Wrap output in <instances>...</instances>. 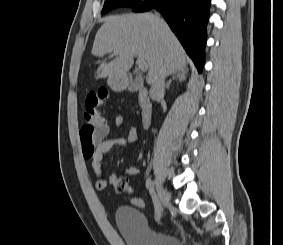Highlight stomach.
<instances>
[{
	"label": "stomach",
	"mask_w": 283,
	"mask_h": 245,
	"mask_svg": "<svg viewBox=\"0 0 283 245\" xmlns=\"http://www.w3.org/2000/svg\"><path fill=\"white\" fill-rule=\"evenodd\" d=\"M110 83L112 84V85H117V84H119V78H110Z\"/></svg>",
	"instance_id": "0dacf381"
}]
</instances>
